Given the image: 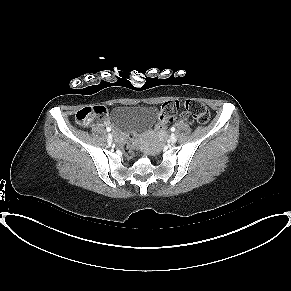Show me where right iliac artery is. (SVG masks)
<instances>
[{
	"label": "right iliac artery",
	"mask_w": 291,
	"mask_h": 291,
	"mask_svg": "<svg viewBox=\"0 0 291 291\" xmlns=\"http://www.w3.org/2000/svg\"><path fill=\"white\" fill-rule=\"evenodd\" d=\"M106 130H107L108 132H110V131H111V129H110L109 127H107V128H106Z\"/></svg>",
	"instance_id": "right-iliac-artery-1"
}]
</instances>
